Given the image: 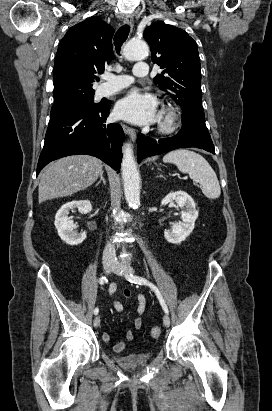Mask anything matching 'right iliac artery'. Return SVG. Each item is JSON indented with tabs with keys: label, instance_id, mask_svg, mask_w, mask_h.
I'll return each mask as SVG.
<instances>
[{
	"label": "right iliac artery",
	"instance_id": "1",
	"mask_svg": "<svg viewBox=\"0 0 272 411\" xmlns=\"http://www.w3.org/2000/svg\"><path fill=\"white\" fill-rule=\"evenodd\" d=\"M106 282H107V279H106L105 277H103V276L99 279V283H100V284H104V283H106ZM98 312H99V309H98V307H96V308L94 309V314L97 315Z\"/></svg>",
	"mask_w": 272,
	"mask_h": 411
}]
</instances>
